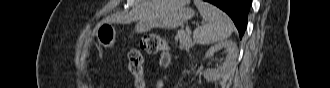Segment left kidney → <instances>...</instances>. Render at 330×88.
<instances>
[{"label":"left kidney","mask_w":330,"mask_h":88,"mask_svg":"<svg viewBox=\"0 0 330 88\" xmlns=\"http://www.w3.org/2000/svg\"><path fill=\"white\" fill-rule=\"evenodd\" d=\"M221 49H224L226 52L225 61L223 65H221L216 69H207L206 71H204L203 75L208 81L220 80L233 69L236 63L237 54H238L237 45L230 40L221 41L215 44L214 46L210 47V49L207 51L205 55V59L211 58L215 52Z\"/></svg>","instance_id":"5707ae66"}]
</instances>
